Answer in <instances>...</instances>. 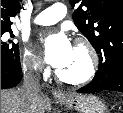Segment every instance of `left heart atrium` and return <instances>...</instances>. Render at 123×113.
<instances>
[{"mask_svg":"<svg viewBox=\"0 0 123 113\" xmlns=\"http://www.w3.org/2000/svg\"><path fill=\"white\" fill-rule=\"evenodd\" d=\"M47 63L56 68L64 66L71 58L73 46L64 32L48 35L42 39Z\"/></svg>","mask_w":123,"mask_h":113,"instance_id":"39dd6f15","label":"left heart atrium"}]
</instances>
